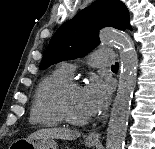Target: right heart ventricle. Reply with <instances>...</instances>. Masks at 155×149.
<instances>
[{"label": "right heart ventricle", "instance_id": "obj_1", "mask_svg": "<svg viewBox=\"0 0 155 149\" xmlns=\"http://www.w3.org/2000/svg\"><path fill=\"white\" fill-rule=\"evenodd\" d=\"M70 79L61 68L43 77L36 86L30 109V122L43 127H57L63 123L55 107L58 87Z\"/></svg>", "mask_w": 155, "mask_h": 149}]
</instances>
